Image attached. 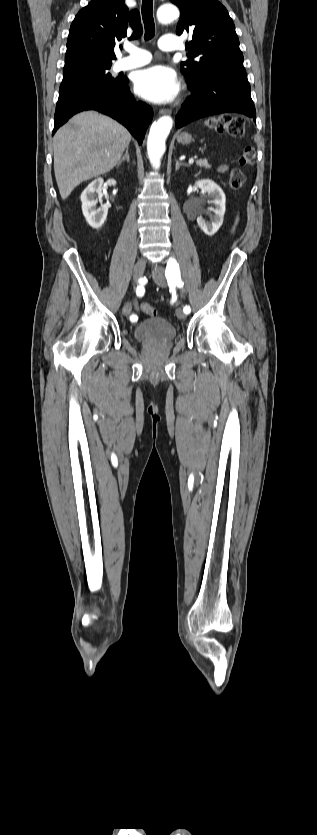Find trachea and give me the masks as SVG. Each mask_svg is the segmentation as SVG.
<instances>
[{
  "label": "trachea",
  "mask_w": 317,
  "mask_h": 835,
  "mask_svg": "<svg viewBox=\"0 0 317 835\" xmlns=\"http://www.w3.org/2000/svg\"><path fill=\"white\" fill-rule=\"evenodd\" d=\"M142 19L145 27L144 39H152L155 34V23L153 18V0H142Z\"/></svg>",
  "instance_id": "trachea-1"
}]
</instances>
